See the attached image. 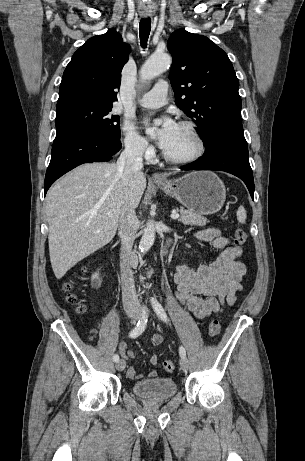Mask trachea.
I'll use <instances>...</instances> for the list:
<instances>
[{
	"mask_svg": "<svg viewBox=\"0 0 305 461\" xmlns=\"http://www.w3.org/2000/svg\"><path fill=\"white\" fill-rule=\"evenodd\" d=\"M151 30V19L146 18V19H141L140 25H139V35H140V43L142 48H146L147 46V41L148 37L150 34Z\"/></svg>",
	"mask_w": 305,
	"mask_h": 461,
	"instance_id": "obj_1",
	"label": "trachea"
}]
</instances>
